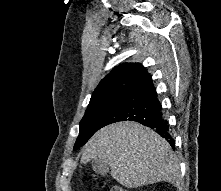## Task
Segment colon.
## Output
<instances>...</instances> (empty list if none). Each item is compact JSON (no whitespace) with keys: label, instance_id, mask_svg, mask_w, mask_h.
<instances>
[{"label":"colon","instance_id":"5ec220e1","mask_svg":"<svg viewBox=\"0 0 221 191\" xmlns=\"http://www.w3.org/2000/svg\"><path fill=\"white\" fill-rule=\"evenodd\" d=\"M109 191H126V190L123 189L122 187L117 186V185H113L109 188Z\"/></svg>","mask_w":221,"mask_h":191}]
</instances>
